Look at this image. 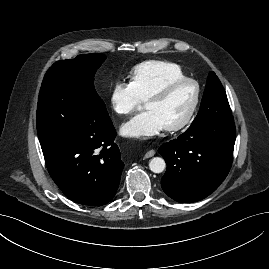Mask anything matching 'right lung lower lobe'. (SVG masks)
I'll return each instance as SVG.
<instances>
[{
    "instance_id": "98d812e1",
    "label": "right lung lower lobe",
    "mask_w": 269,
    "mask_h": 269,
    "mask_svg": "<svg viewBox=\"0 0 269 269\" xmlns=\"http://www.w3.org/2000/svg\"><path fill=\"white\" fill-rule=\"evenodd\" d=\"M115 136L109 122L41 145L49 174L72 201L101 206L115 196L124 168Z\"/></svg>"
}]
</instances>
